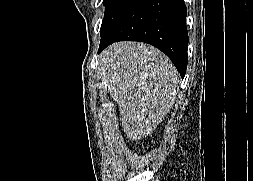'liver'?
Segmentation results:
<instances>
[{"label": "liver", "instance_id": "obj_1", "mask_svg": "<svg viewBox=\"0 0 253 181\" xmlns=\"http://www.w3.org/2000/svg\"><path fill=\"white\" fill-rule=\"evenodd\" d=\"M99 68L127 138L150 135L173 107L178 73L169 58L144 43L118 42L99 55Z\"/></svg>", "mask_w": 253, "mask_h": 181}]
</instances>
